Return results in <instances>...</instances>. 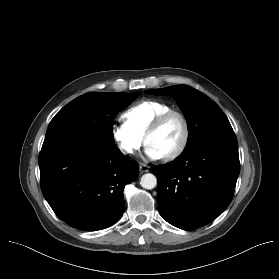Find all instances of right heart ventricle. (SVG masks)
I'll return each instance as SVG.
<instances>
[{
    "mask_svg": "<svg viewBox=\"0 0 279 279\" xmlns=\"http://www.w3.org/2000/svg\"><path fill=\"white\" fill-rule=\"evenodd\" d=\"M171 109V106L163 101L144 99L129 107L123 113V118L134 132L143 137L150 124L160 114Z\"/></svg>",
    "mask_w": 279,
    "mask_h": 279,
    "instance_id": "obj_1",
    "label": "right heart ventricle"
}]
</instances>
